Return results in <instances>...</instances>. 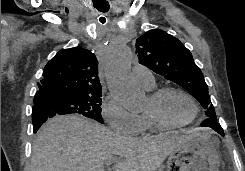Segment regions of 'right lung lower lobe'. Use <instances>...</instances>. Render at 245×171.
I'll return each instance as SVG.
<instances>
[{
  "label": "right lung lower lobe",
  "instance_id": "98d812e1",
  "mask_svg": "<svg viewBox=\"0 0 245 171\" xmlns=\"http://www.w3.org/2000/svg\"><path fill=\"white\" fill-rule=\"evenodd\" d=\"M56 115L48 106L38 103L32 109L33 131L36 133L47 119Z\"/></svg>",
  "mask_w": 245,
  "mask_h": 171
}]
</instances>
